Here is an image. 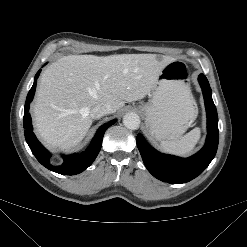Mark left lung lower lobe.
I'll use <instances>...</instances> for the list:
<instances>
[{
  "label": "left lung lower lobe",
  "mask_w": 247,
  "mask_h": 247,
  "mask_svg": "<svg viewBox=\"0 0 247 247\" xmlns=\"http://www.w3.org/2000/svg\"><path fill=\"white\" fill-rule=\"evenodd\" d=\"M202 88L208 135L205 146L189 158L162 154L150 147L141 134L137 135V146L148 171L157 179L171 184L191 181L200 175L213 160L219 140L217 110L211 96V88L204 74L198 77Z\"/></svg>",
  "instance_id": "1"
}]
</instances>
